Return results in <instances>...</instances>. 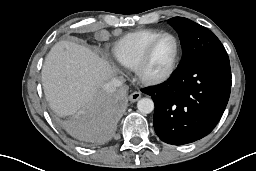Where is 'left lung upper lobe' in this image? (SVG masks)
<instances>
[{"label": "left lung upper lobe", "mask_w": 256, "mask_h": 171, "mask_svg": "<svg viewBox=\"0 0 256 171\" xmlns=\"http://www.w3.org/2000/svg\"><path fill=\"white\" fill-rule=\"evenodd\" d=\"M168 23L178 32L183 56L180 65L197 57L226 53L219 39L207 28L184 17H174Z\"/></svg>", "instance_id": "1"}]
</instances>
